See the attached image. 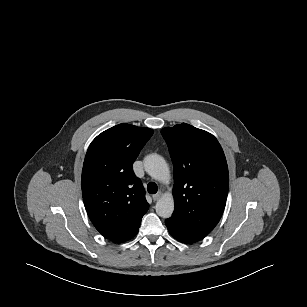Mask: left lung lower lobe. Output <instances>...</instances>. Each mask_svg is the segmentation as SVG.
Here are the masks:
<instances>
[{
  "instance_id": "0a47b994",
  "label": "left lung lower lobe",
  "mask_w": 307,
  "mask_h": 307,
  "mask_svg": "<svg viewBox=\"0 0 307 307\" xmlns=\"http://www.w3.org/2000/svg\"><path fill=\"white\" fill-rule=\"evenodd\" d=\"M165 224L168 228L169 233L176 238L177 240L184 242V243H194L201 239L192 233L184 230L180 227L176 222L171 220L170 218L165 221Z\"/></svg>"
}]
</instances>
